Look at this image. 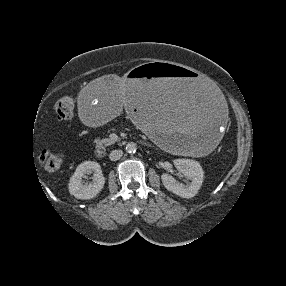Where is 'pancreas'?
<instances>
[{"mask_svg": "<svg viewBox=\"0 0 286 286\" xmlns=\"http://www.w3.org/2000/svg\"><path fill=\"white\" fill-rule=\"evenodd\" d=\"M118 137L116 138H105V139H96L95 143L97 144V146H109L111 144H114L116 141H118Z\"/></svg>", "mask_w": 286, "mask_h": 286, "instance_id": "1", "label": "pancreas"}]
</instances>
